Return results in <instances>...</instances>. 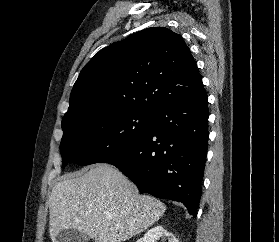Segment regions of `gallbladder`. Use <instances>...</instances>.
<instances>
[{"instance_id": "obj_1", "label": "gallbladder", "mask_w": 279, "mask_h": 242, "mask_svg": "<svg viewBox=\"0 0 279 242\" xmlns=\"http://www.w3.org/2000/svg\"><path fill=\"white\" fill-rule=\"evenodd\" d=\"M89 237L78 230L64 229L56 237V242H88Z\"/></svg>"}]
</instances>
